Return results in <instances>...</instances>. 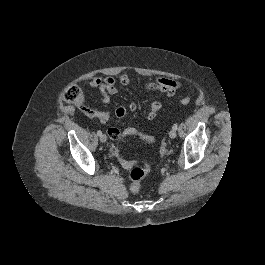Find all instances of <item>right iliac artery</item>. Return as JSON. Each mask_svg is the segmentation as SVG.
<instances>
[{
	"label": "right iliac artery",
	"mask_w": 265,
	"mask_h": 265,
	"mask_svg": "<svg viewBox=\"0 0 265 265\" xmlns=\"http://www.w3.org/2000/svg\"><path fill=\"white\" fill-rule=\"evenodd\" d=\"M97 135H98V136H101V135H102L101 130H98V131H97Z\"/></svg>",
	"instance_id": "82829eb1"
}]
</instances>
